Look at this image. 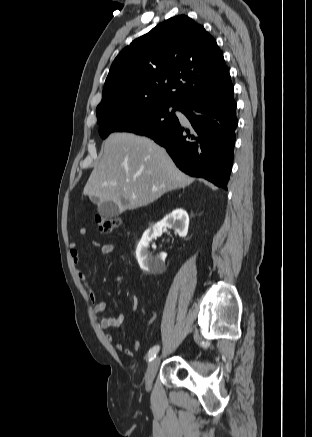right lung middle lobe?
<instances>
[{"mask_svg":"<svg viewBox=\"0 0 312 437\" xmlns=\"http://www.w3.org/2000/svg\"><path fill=\"white\" fill-rule=\"evenodd\" d=\"M171 106L173 111L170 113ZM177 109L180 107L163 102L127 105L98 119L99 133L102 138L112 132H132L145 136L159 133L178 121L174 114Z\"/></svg>","mask_w":312,"mask_h":437,"instance_id":"obj_1","label":"right lung middle lobe"}]
</instances>
